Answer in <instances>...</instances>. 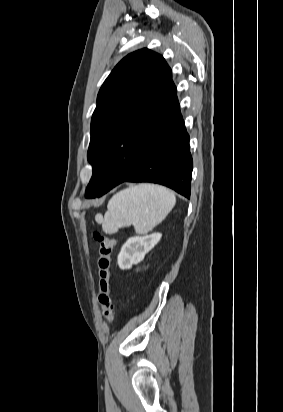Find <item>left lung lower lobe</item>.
Returning a JSON list of instances; mask_svg holds the SVG:
<instances>
[{"label": "left lung lower lobe", "mask_w": 283, "mask_h": 412, "mask_svg": "<svg viewBox=\"0 0 283 412\" xmlns=\"http://www.w3.org/2000/svg\"><path fill=\"white\" fill-rule=\"evenodd\" d=\"M102 151L92 180L100 183V197L123 182H153L190 197L193 161L189 135L178 100L157 125L138 162L122 154Z\"/></svg>", "instance_id": "1"}]
</instances>
